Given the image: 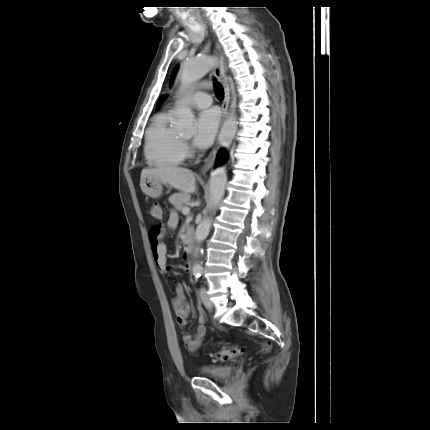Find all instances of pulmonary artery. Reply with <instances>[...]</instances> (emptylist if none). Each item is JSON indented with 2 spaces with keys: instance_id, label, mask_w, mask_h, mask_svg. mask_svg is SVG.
<instances>
[{
  "instance_id": "e3ab8cb5",
  "label": "pulmonary artery",
  "mask_w": 430,
  "mask_h": 430,
  "mask_svg": "<svg viewBox=\"0 0 430 430\" xmlns=\"http://www.w3.org/2000/svg\"><path fill=\"white\" fill-rule=\"evenodd\" d=\"M200 88L192 92L190 101L194 107L198 109H204L212 104V98L208 93L201 90Z\"/></svg>"
}]
</instances>
